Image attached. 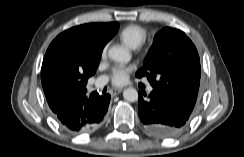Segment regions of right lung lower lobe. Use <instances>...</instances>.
<instances>
[{
	"label": "right lung lower lobe",
	"instance_id": "98d812e1",
	"mask_svg": "<svg viewBox=\"0 0 244 157\" xmlns=\"http://www.w3.org/2000/svg\"><path fill=\"white\" fill-rule=\"evenodd\" d=\"M87 90L63 97L47 98L57 121L72 132H89L99 127L110 103V95L97 92L85 95Z\"/></svg>",
	"mask_w": 244,
	"mask_h": 157
}]
</instances>
